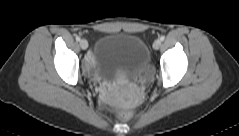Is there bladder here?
<instances>
[{
	"instance_id": "31cf9c89",
	"label": "bladder",
	"mask_w": 239,
	"mask_h": 136,
	"mask_svg": "<svg viewBox=\"0 0 239 136\" xmlns=\"http://www.w3.org/2000/svg\"><path fill=\"white\" fill-rule=\"evenodd\" d=\"M149 65L148 46L137 35L106 33L96 45L94 69L111 80L135 77Z\"/></svg>"
}]
</instances>
